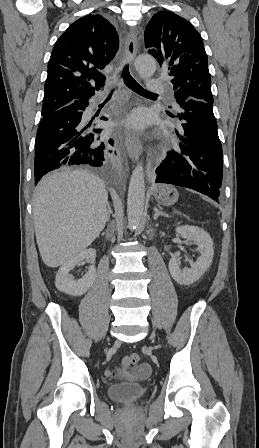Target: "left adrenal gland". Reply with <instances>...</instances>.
Instances as JSON below:
<instances>
[{
    "mask_svg": "<svg viewBox=\"0 0 259 448\" xmlns=\"http://www.w3.org/2000/svg\"><path fill=\"white\" fill-rule=\"evenodd\" d=\"M154 220H157L158 216H165V218H169L168 214H165V212H159L158 208H154Z\"/></svg>",
    "mask_w": 259,
    "mask_h": 448,
    "instance_id": "1",
    "label": "left adrenal gland"
}]
</instances>
